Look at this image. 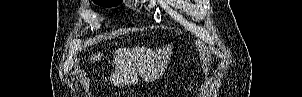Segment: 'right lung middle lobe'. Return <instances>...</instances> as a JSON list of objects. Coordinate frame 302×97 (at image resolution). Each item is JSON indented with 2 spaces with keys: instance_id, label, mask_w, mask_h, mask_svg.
Listing matches in <instances>:
<instances>
[{
  "instance_id": "dd1d6c3e",
  "label": "right lung middle lobe",
  "mask_w": 302,
  "mask_h": 97,
  "mask_svg": "<svg viewBox=\"0 0 302 97\" xmlns=\"http://www.w3.org/2000/svg\"><path fill=\"white\" fill-rule=\"evenodd\" d=\"M94 3L99 4L103 7H113L120 3H122V0H93Z\"/></svg>"
}]
</instances>
